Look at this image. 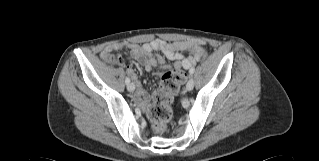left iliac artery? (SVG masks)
Listing matches in <instances>:
<instances>
[{
  "mask_svg": "<svg viewBox=\"0 0 319 161\" xmlns=\"http://www.w3.org/2000/svg\"><path fill=\"white\" fill-rule=\"evenodd\" d=\"M194 72H195V68H194V67H191L190 70H189L190 75H193Z\"/></svg>",
  "mask_w": 319,
  "mask_h": 161,
  "instance_id": "44dca946",
  "label": "left iliac artery"
}]
</instances>
